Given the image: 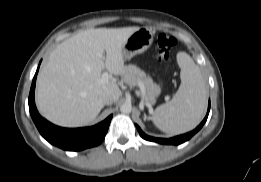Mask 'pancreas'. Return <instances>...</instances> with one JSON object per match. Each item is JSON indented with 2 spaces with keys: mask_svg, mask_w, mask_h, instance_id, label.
I'll use <instances>...</instances> for the list:
<instances>
[{
  "mask_svg": "<svg viewBox=\"0 0 261 182\" xmlns=\"http://www.w3.org/2000/svg\"><path fill=\"white\" fill-rule=\"evenodd\" d=\"M123 79L130 87L140 86L144 89V93L143 91L142 93L146 103H155V98L160 93V87L143 70L135 65H128L125 68Z\"/></svg>",
  "mask_w": 261,
  "mask_h": 182,
  "instance_id": "cf45deb5",
  "label": "pancreas"
}]
</instances>
